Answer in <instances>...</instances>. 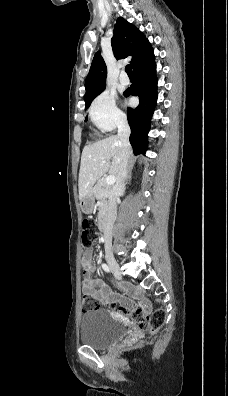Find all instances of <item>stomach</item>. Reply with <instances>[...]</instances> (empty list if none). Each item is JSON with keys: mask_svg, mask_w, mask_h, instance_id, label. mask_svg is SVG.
Listing matches in <instances>:
<instances>
[{"mask_svg": "<svg viewBox=\"0 0 228 396\" xmlns=\"http://www.w3.org/2000/svg\"><path fill=\"white\" fill-rule=\"evenodd\" d=\"M80 207L83 213L90 214L95 207V194L94 191L87 194L80 200Z\"/></svg>", "mask_w": 228, "mask_h": 396, "instance_id": "1", "label": "stomach"}]
</instances>
